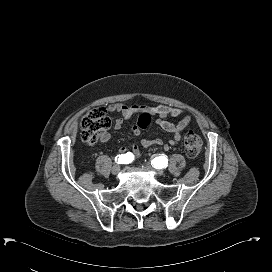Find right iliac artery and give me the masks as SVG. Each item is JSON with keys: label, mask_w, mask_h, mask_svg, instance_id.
I'll return each instance as SVG.
<instances>
[{"label": "right iliac artery", "mask_w": 272, "mask_h": 272, "mask_svg": "<svg viewBox=\"0 0 272 272\" xmlns=\"http://www.w3.org/2000/svg\"><path fill=\"white\" fill-rule=\"evenodd\" d=\"M118 164H129L134 160L132 153L127 152L126 154L118 155L115 159Z\"/></svg>", "instance_id": "1"}]
</instances>
